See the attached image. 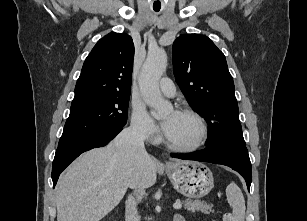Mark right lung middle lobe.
I'll list each match as a JSON object with an SVG mask.
<instances>
[{
  "instance_id": "1",
  "label": "right lung middle lobe",
  "mask_w": 307,
  "mask_h": 221,
  "mask_svg": "<svg viewBox=\"0 0 307 221\" xmlns=\"http://www.w3.org/2000/svg\"><path fill=\"white\" fill-rule=\"evenodd\" d=\"M130 93H115L72 102L59 144L124 127Z\"/></svg>"
}]
</instances>
